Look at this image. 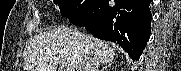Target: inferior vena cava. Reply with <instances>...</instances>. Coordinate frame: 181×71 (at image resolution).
<instances>
[{
	"instance_id": "inferior-vena-cava-1",
	"label": "inferior vena cava",
	"mask_w": 181,
	"mask_h": 71,
	"mask_svg": "<svg viewBox=\"0 0 181 71\" xmlns=\"http://www.w3.org/2000/svg\"><path fill=\"white\" fill-rule=\"evenodd\" d=\"M98 66H99V60L96 57H94L87 70L88 71H99Z\"/></svg>"
}]
</instances>
